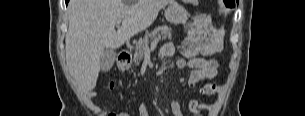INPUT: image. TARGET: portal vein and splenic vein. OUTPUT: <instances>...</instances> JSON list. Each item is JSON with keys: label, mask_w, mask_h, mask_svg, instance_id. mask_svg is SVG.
Listing matches in <instances>:
<instances>
[{"label": "portal vein and splenic vein", "mask_w": 305, "mask_h": 116, "mask_svg": "<svg viewBox=\"0 0 305 116\" xmlns=\"http://www.w3.org/2000/svg\"><path fill=\"white\" fill-rule=\"evenodd\" d=\"M120 24H121V21H117L116 25L119 26ZM158 41H159V39H155V40L151 43V48H150V49H149V47L146 48V49H145V52H146V53H150L152 50H154V48L156 47Z\"/></svg>", "instance_id": "1"}]
</instances>
